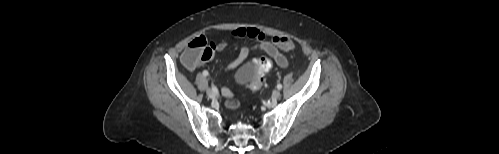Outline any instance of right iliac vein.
Here are the masks:
<instances>
[{
  "label": "right iliac vein",
  "instance_id": "1",
  "mask_svg": "<svg viewBox=\"0 0 499 154\" xmlns=\"http://www.w3.org/2000/svg\"><path fill=\"white\" fill-rule=\"evenodd\" d=\"M208 97L213 98L215 96L214 91L211 88H208L206 91Z\"/></svg>",
  "mask_w": 499,
  "mask_h": 154
}]
</instances>
